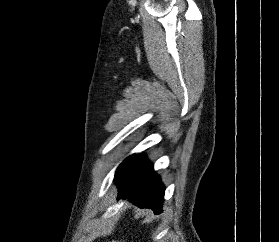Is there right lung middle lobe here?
<instances>
[{"label":"right lung middle lobe","instance_id":"dd1d6c3e","mask_svg":"<svg viewBox=\"0 0 279 242\" xmlns=\"http://www.w3.org/2000/svg\"><path fill=\"white\" fill-rule=\"evenodd\" d=\"M135 155H131L130 157H128L122 164H120V166L118 167L117 171L126 163L128 162L132 157H134Z\"/></svg>","mask_w":279,"mask_h":242}]
</instances>
